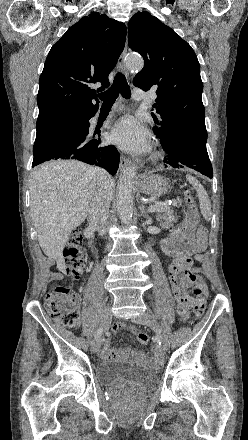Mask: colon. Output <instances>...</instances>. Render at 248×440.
<instances>
[{
	"mask_svg": "<svg viewBox=\"0 0 248 440\" xmlns=\"http://www.w3.org/2000/svg\"><path fill=\"white\" fill-rule=\"evenodd\" d=\"M184 198L188 208V220L197 224L199 218L192 192L188 189L185 190ZM195 248L201 250L203 246L201 243H197ZM64 256L67 274L73 279H78L85 272L82 235L78 228L72 230L64 250ZM192 285L195 296L193 315L194 320H198L204 313L207 288L205 281L199 275L192 276ZM78 307L79 297L69 283L56 285L45 298V308L50 317L55 322L69 328L77 327L80 322ZM136 337L141 344H147L150 340L149 335L145 332H137Z\"/></svg>",
	"mask_w": 248,
	"mask_h": 440,
	"instance_id": "obj_1",
	"label": "colon"
}]
</instances>
